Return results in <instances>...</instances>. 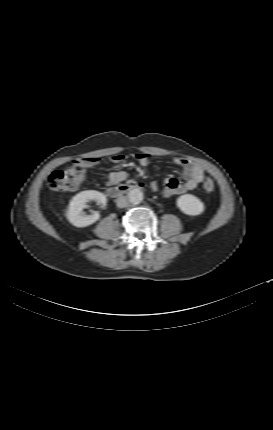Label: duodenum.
I'll list each match as a JSON object with an SVG mask.
<instances>
[{"label": "duodenum", "instance_id": "duodenum-1", "mask_svg": "<svg viewBox=\"0 0 273 430\" xmlns=\"http://www.w3.org/2000/svg\"><path fill=\"white\" fill-rule=\"evenodd\" d=\"M137 187L133 184H119L117 186H111L107 189V193L110 197H119L124 194H127L133 190H135Z\"/></svg>", "mask_w": 273, "mask_h": 430}]
</instances>
